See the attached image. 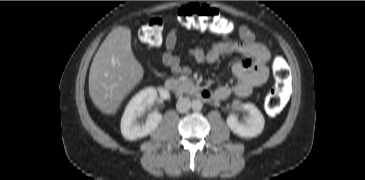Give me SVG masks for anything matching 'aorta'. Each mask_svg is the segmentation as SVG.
I'll list each match as a JSON object with an SVG mask.
<instances>
[{"instance_id": "aorta-1", "label": "aorta", "mask_w": 365, "mask_h": 180, "mask_svg": "<svg viewBox=\"0 0 365 180\" xmlns=\"http://www.w3.org/2000/svg\"><path fill=\"white\" fill-rule=\"evenodd\" d=\"M191 107L194 111H200L203 107V104L200 100H193L191 103Z\"/></svg>"}]
</instances>
